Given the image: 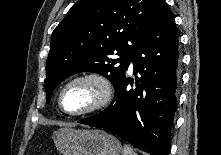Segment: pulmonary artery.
<instances>
[{"mask_svg":"<svg viewBox=\"0 0 221 155\" xmlns=\"http://www.w3.org/2000/svg\"><path fill=\"white\" fill-rule=\"evenodd\" d=\"M133 69V63H131V65H130V70H132Z\"/></svg>","mask_w":221,"mask_h":155,"instance_id":"1","label":"pulmonary artery"}]
</instances>
